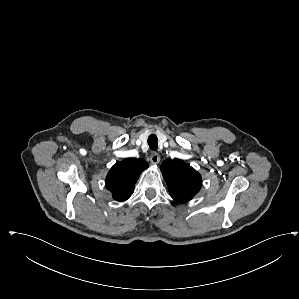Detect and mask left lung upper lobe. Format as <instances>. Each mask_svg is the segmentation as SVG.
<instances>
[{"mask_svg": "<svg viewBox=\"0 0 299 299\" xmlns=\"http://www.w3.org/2000/svg\"><path fill=\"white\" fill-rule=\"evenodd\" d=\"M171 197L178 203L191 200L202 185L201 175L179 159H167L161 165Z\"/></svg>", "mask_w": 299, "mask_h": 299, "instance_id": "obj_1", "label": "left lung upper lobe"}]
</instances>
